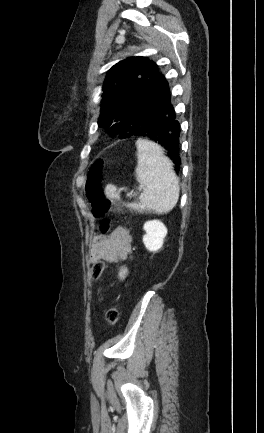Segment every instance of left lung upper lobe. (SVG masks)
I'll return each mask as SVG.
<instances>
[{
	"instance_id": "1",
	"label": "left lung upper lobe",
	"mask_w": 264,
	"mask_h": 433,
	"mask_svg": "<svg viewBox=\"0 0 264 433\" xmlns=\"http://www.w3.org/2000/svg\"><path fill=\"white\" fill-rule=\"evenodd\" d=\"M157 65L146 57H129L114 65L107 73L103 85L100 127L111 136L129 137L120 120L139 95L158 77Z\"/></svg>"
}]
</instances>
